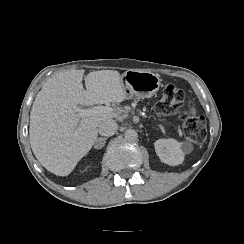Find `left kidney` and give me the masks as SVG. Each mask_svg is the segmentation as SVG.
Segmentation results:
<instances>
[{"instance_id":"5707ae66","label":"left kidney","mask_w":244,"mask_h":244,"mask_svg":"<svg viewBox=\"0 0 244 244\" xmlns=\"http://www.w3.org/2000/svg\"><path fill=\"white\" fill-rule=\"evenodd\" d=\"M155 151L160 160L168 165H177L183 161L181 144L173 139H160L155 142Z\"/></svg>"}]
</instances>
